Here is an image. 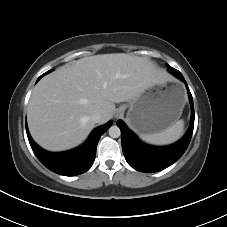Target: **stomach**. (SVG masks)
Returning <instances> with one entry per match:
<instances>
[{"label":"stomach","mask_w":227,"mask_h":227,"mask_svg":"<svg viewBox=\"0 0 227 227\" xmlns=\"http://www.w3.org/2000/svg\"><path fill=\"white\" fill-rule=\"evenodd\" d=\"M185 92L176 85H152L129 101L126 122L141 134L158 133L173 125L182 114Z\"/></svg>","instance_id":"1"}]
</instances>
